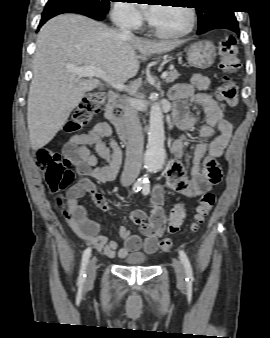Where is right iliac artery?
<instances>
[{
  "mask_svg": "<svg viewBox=\"0 0 270 338\" xmlns=\"http://www.w3.org/2000/svg\"><path fill=\"white\" fill-rule=\"evenodd\" d=\"M144 182L138 180L134 183L133 187H132V191L134 193L138 192L141 190L142 186H143ZM91 255V248H87L82 256V262H81V268H80V274L78 277V283L80 285H83V283L85 282V277H86V267L88 265V261Z\"/></svg>",
  "mask_w": 270,
  "mask_h": 338,
  "instance_id": "obj_1",
  "label": "right iliac artery"
}]
</instances>
